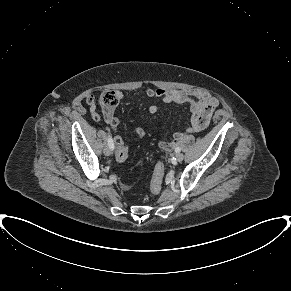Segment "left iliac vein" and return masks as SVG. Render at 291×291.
Masks as SVG:
<instances>
[{"label":"left iliac vein","mask_w":291,"mask_h":291,"mask_svg":"<svg viewBox=\"0 0 291 291\" xmlns=\"http://www.w3.org/2000/svg\"><path fill=\"white\" fill-rule=\"evenodd\" d=\"M175 158L178 162H181L184 159V155L182 153H176Z\"/></svg>","instance_id":"obj_1"}]
</instances>
